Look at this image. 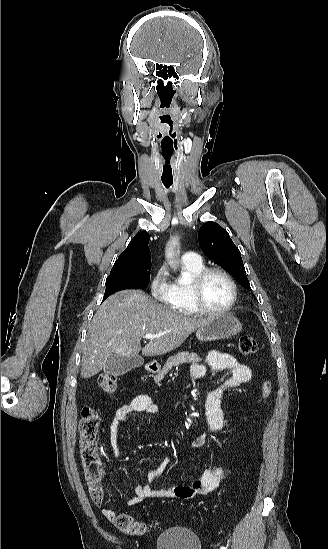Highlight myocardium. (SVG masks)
I'll return each instance as SVG.
<instances>
[{
    "mask_svg": "<svg viewBox=\"0 0 328 549\" xmlns=\"http://www.w3.org/2000/svg\"><path fill=\"white\" fill-rule=\"evenodd\" d=\"M213 272H218L224 275L232 287V296L227 305L221 309H208L204 308L201 305L205 304V301L202 298L201 289L204 280L206 277ZM189 295L192 301V304L189 305V308L194 311L198 316H213L220 317L231 312L236 305L238 299V285L233 277V275L222 265L219 264H209L205 265L199 272L192 276L189 281Z\"/></svg>",
    "mask_w": 328,
    "mask_h": 549,
    "instance_id": "obj_1",
    "label": "myocardium"
}]
</instances>
